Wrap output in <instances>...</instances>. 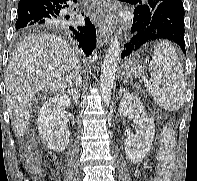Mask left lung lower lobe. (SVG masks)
Here are the masks:
<instances>
[{
    "instance_id": "left-lung-lower-lobe-1",
    "label": "left lung lower lobe",
    "mask_w": 197,
    "mask_h": 181,
    "mask_svg": "<svg viewBox=\"0 0 197 181\" xmlns=\"http://www.w3.org/2000/svg\"><path fill=\"white\" fill-rule=\"evenodd\" d=\"M133 37L124 45V58L140 49L144 44L159 39L171 40L185 51L184 8L181 0H166L156 7L151 17L133 19Z\"/></svg>"
}]
</instances>
